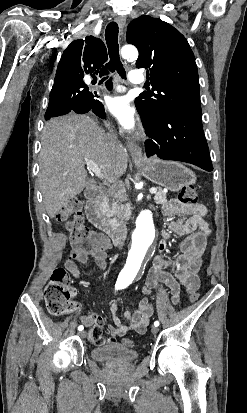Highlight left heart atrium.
I'll return each mask as SVG.
<instances>
[{"label": "left heart atrium", "instance_id": "39dd6f15", "mask_svg": "<svg viewBox=\"0 0 247 413\" xmlns=\"http://www.w3.org/2000/svg\"><path fill=\"white\" fill-rule=\"evenodd\" d=\"M104 106L121 125L124 130L134 129L136 124V111L124 96H107L103 100Z\"/></svg>", "mask_w": 247, "mask_h": 413}]
</instances>
